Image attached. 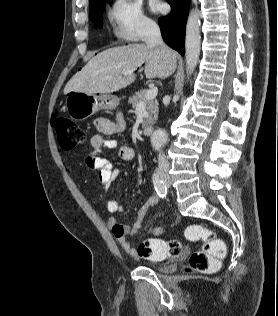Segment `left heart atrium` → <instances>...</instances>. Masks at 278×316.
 I'll return each instance as SVG.
<instances>
[{"mask_svg": "<svg viewBox=\"0 0 278 316\" xmlns=\"http://www.w3.org/2000/svg\"><path fill=\"white\" fill-rule=\"evenodd\" d=\"M163 8H164L163 5L160 4V3L155 4L154 7H153V9H154L155 11H162Z\"/></svg>", "mask_w": 278, "mask_h": 316, "instance_id": "left-heart-atrium-1", "label": "left heart atrium"}]
</instances>
